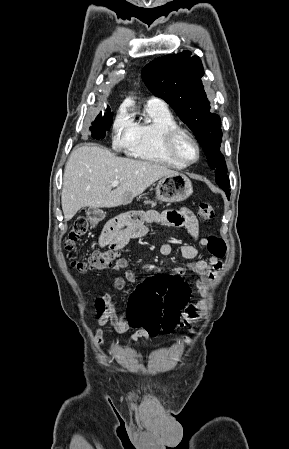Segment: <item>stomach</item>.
Masks as SVG:
<instances>
[{
	"instance_id": "obj_1",
	"label": "stomach",
	"mask_w": 289,
	"mask_h": 449,
	"mask_svg": "<svg viewBox=\"0 0 289 449\" xmlns=\"http://www.w3.org/2000/svg\"><path fill=\"white\" fill-rule=\"evenodd\" d=\"M192 193L191 180L181 173L162 177L156 186V198L163 202H181L191 196ZM90 221L94 227L98 219L93 216Z\"/></svg>"
}]
</instances>
